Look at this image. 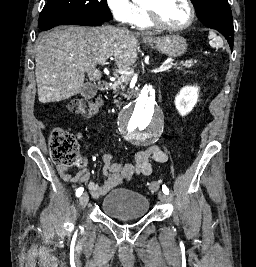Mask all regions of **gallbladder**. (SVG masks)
Instances as JSON below:
<instances>
[{
    "label": "gallbladder",
    "instance_id": "1",
    "mask_svg": "<svg viewBox=\"0 0 256 267\" xmlns=\"http://www.w3.org/2000/svg\"><path fill=\"white\" fill-rule=\"evenodd\" d=\"M80 94L85 100H91V98H94L97 94L96 84H84Z\"/></svg>",
    "mask_w": 256,
    "mask_h": 267
}]
</instances>
